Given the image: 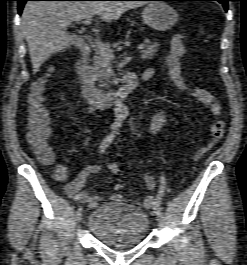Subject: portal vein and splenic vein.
<instances>
[{"label":"portal vein and splenic vein","mask_w":247,"mask_h":265,"mask_svg":"<svg viewBox=\"0 0 247 265\" xmlns=\"http://www.w3.org/2000/svg\"><path fill=\"white\" fill-rule=\"evenodd\" d=\"M79 23V21H77ZM84 25H90L91 24V17L86 18L84 21H82ZM95 44L99 51L103 53L107 58L114 59V55L112 53V50H110L106 45H104L100 40L96 39ZM145 44H140L137 49L142 50L144 49Z\"/></svg>","instance_id":"portal-vein-and-splenic-vein-1"}]
</instances>
